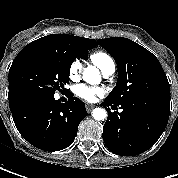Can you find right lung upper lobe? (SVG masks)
<instances>
[{
    "label": "right lung upper lobe",
    "instance_id": "1",
    "mask_svg": "<svg viewBox=\"0 0 178 178\" xmlns=\"http://www.w3.org/2000/svg\"><path fill=\"white\" fill-rule=\"evenodd\" d=\"M31 43H49V44H57V45H65V46H78L83 49L90 50L97 45L96 40L88 39L84 37H77L73 35L67 34H50L39 38Z\"/></svg>",
    "mask_w": 178,
    "mask_h": 178
}]
</instances>
